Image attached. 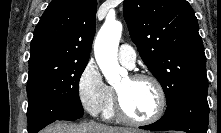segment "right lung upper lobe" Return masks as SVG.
Here are the masks:
<instances>
[{"instance_id":"1","label":"right lung upper lobe","mask_w":221,"mask_h":133,"mask_svg":"<svg viewBox=\"0 0 221 133\" xmlns=\"http://www.w3.org/2000/svg\"><path fill=\"white\" fill-rule=\"evenodd\" d=\"M96 9V0H52L34 31L29 75L55 66L87 63Z\"/></svg>"}]
</instances>
